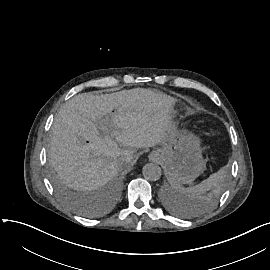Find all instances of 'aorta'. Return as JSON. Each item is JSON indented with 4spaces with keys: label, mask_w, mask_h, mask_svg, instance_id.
<instances>
[{
    "label": "aorta",
    "mask_w": 270,
    "mask_h": 270,
    "mask_svg": "<svg viewBox=\"0 0 270 270\" xmlns=\"http://www.w3.org/2000/svg\"><path fill=\"white\" fill-rule=\"evenodd\" d=\"M143 176L146 180L156 181L161 177V168L154 163H148L143 167Z\"/></svg>",
    "instance_id": "aorta-1"
}]
</instances>
